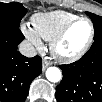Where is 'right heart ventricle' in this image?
Instances as JSON below:
<instances>
[{
    "instance_id": "obj_1",
    "label": "right heart ventricle",
    "mask_w": 102,
    "mask_h": 102,
    "mask_svg": "<svg viewBox=\"0 0 102 102\" xmlns=\"http://www.w3.org/2000/svg\"><path fill=\"white\" fill-rule=\"evenodd\" d=\"M76 18L78 16L60 10L39 12L32 16L31 25L40 38L50 42L55 35Z\"/></svg>"
}]
</instances>
